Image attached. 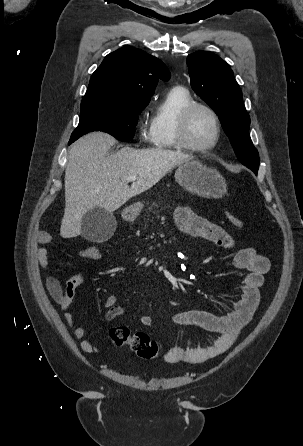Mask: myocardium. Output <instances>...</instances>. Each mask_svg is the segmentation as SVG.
I'll list each match as a JSON object with an SVG mask.
<instances>
[{
    "instance_id": "f54148a6",
    "label": "myocardium",
    "mask_w": 303,
    "mask_h": 446,
    "mask_svg": "<svg viewBox=\"0 0 303 446\" xmlns=\"http://www.w3.org/2000/svg\"><path fill=\"white\" fill-rule=\"evenodd\" d=\"M202 109L205 110L212 118L214 126H215V136L213 141L206 145V146H195L193 145L189 139H188V123L189 119L192 115V113L197 110ZM222 134V127L219 120V117L215 110L211 108L210 106L199 103V102H193L190 105H188L186 108L182 110L180 113L178 120H177V127H176V138L178 145L180 148H183L185 150L191 151V152H197V153H204L208 152L212 149H214L217 144L220 141Z\"/></svg>"
}]
</instances>
